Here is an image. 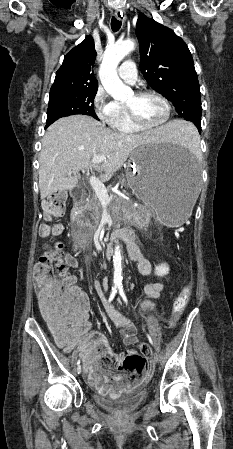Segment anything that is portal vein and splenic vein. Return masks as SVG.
Segmentation results:
<instances>
[{
    "mask_svg": "<svg viewBox=\"0 0 233 449\" xmlns=\"http://www.w3.org/2000/svg\"><path fill=\"white\" fill-rule=\"evenodd\" d=\"M107 159L106 155H98L94 156L91 160L92 163H100L102 161H105ZM71 174V172L69 173ZM90 185L95 191L96 196L100 200L102 204H109L112 198L108 195V192L106 190V187L104 184L95 176H91L90 179Z\"/></svg>",
    "mask_w": 233,
    "mask_h": 449,
    "instance_id": "portal-vein-and-splenic-vein-1",
    "label": "portal vein and splenic vein"
}]
</instances>
